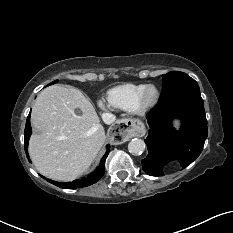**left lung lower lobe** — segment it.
Segmentation results:
<instances>
[{
  "label": "left lung lower lobe",
  "mask_w": 233,
  "mask_h": 233,
  "mask_svg": "<svg viewBox=\"0 0 233 233\" xmlns=\"http://www.w3.org/2000/svg\"><path fill=\"white\" fill-rule=\"evenodd\" d=\"M174 118L182 121L179 131L172 127ZM147 122L148 156L141 162L148 175L162 176L170 162H177L184 169L202 152L208 130L199 89L180 91L160 101L147 115Z\"/></svg>",
  "instance_id": "0a47b994"
}]
</instances>
